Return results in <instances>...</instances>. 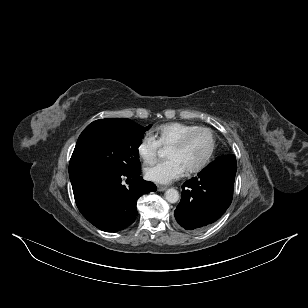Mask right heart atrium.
Segmentation results:
<instances>
[{
    "mask_svg": "<svg viewBox=\"0 0 308 308\" xmlns=\"http://www.w3.org/2000/svg\"><path fill=\"white\" fill-rule=\"evenodd\" d=\"M160 146L151 135H145L137 145V154L145 164L155 161Z\"/></svg>",
    "mask_w": 308,
    "mask_h": 308,
    "instance_id": "right-heart-atrium-1",
    "label": "right heart atrium"
}]
</instances>
